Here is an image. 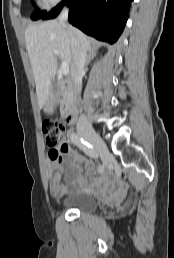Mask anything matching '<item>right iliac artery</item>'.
Returning a JSON list of instances; mask_svg holds the SVG:
<instances>
[{
  "label": "right iliac artery",
  "instance_id": "82829eb1",
  "mask_svg": "<svg viewBox=\"0 0 174 258\" xmlns=\"http://www.w3.org/2000/svg\"><path fill=\"white\" fill-rule=\"evenodd\" d=\"M70 138L72 142L78 146L86 155L92 157V158H97L98 153L95 151L92 145H90L88 142L84 141L83 138H81L79 135L76 133H72L70 135ZM99 173H102L104 171V166L99 165L98 167Z\"/></svg>",
  "mask_w": 174,
  "mask_h": 258
}]
</instances>
